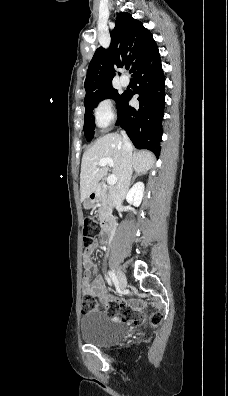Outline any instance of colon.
Masks as SVG:
<instances>
[{"label":"colon","mask_w":228,"mask_h":396,"mask_svg":"<svg viewBox=\"0 0 228 396\" xmlns=\"http://www.w3.org/2000/svg\"><path fill=\"white\" fill-rule=\"evenodd\" d=\"M97 231V226L93 219L85 218L83 226V241L86 245L85 252L87 248L91 245V240L94 233ZM84 252V254H85ZM82 308L85 312H93L100 310L101 306L98 300L90 294H84L82 301ZM106 313L111 317H120L124 320H134L136 316L135 310L123 304H118L115 302H108L104 306ZM161 322V315L154 314L151 319V324L156 326Z\"/></svg>","instance_id":"5ec220e1"}]
</instances>
